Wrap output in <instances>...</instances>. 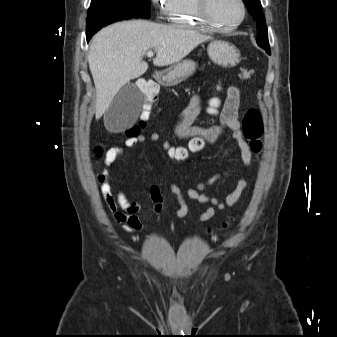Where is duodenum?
I'll return each mask as SVG.
<instances>
[{
    "instance_id": "1",
    "label": "duodenum",
    "mask_w": 337,
    "mask_h": 337,
    "mask_svg": "<svg viewBox=\"0 0 337 337\" xmlns=\"http://www.w3.org/2000/svg\"><path fill=\"white\" fill-rule=\"evenodd\" d=\"M153 76H154L155 78H157V77L159 76V74H158V73H155Z\"/></svg>"
}]
</instances>
